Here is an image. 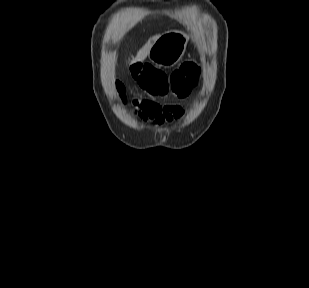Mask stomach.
Here are the masks:
<instances>
[{
	"mask_svg": "<svg viewBox=\"0 0 309 288\" xmlns=\"http://www.w3.org/2000/svg\"><path fill=\"white\" fill-rule=\"evenodd\" d=\"M188 36L178 30L168 31L160 35L153 43L148 59L160 67H172L185 53Z\"/></svg>",
	"mask_w": 309,
	"mask_h": 288,
	"instance_id": "1",
	"label": "stomach"
}]
</instances>
